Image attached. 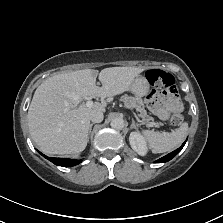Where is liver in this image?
Returning a JSON list of instances; mask_svg holds the SVG:
<instances>
[{"mask_svg":"<svg viewBox=\"0 0 223 223\" xmlns=\"http://www.w3.org/2000/svg\"><path fill=\"white\" fill-rule=\"evenodd\" d=\"M147 68L111 67L101 70L84 69L54 75L35 91L28 110V126L32 139L45 154H75L88 142L90 113L105 111L106 97L130 90L134 78ZM100 97L101 103L91 108L83 98ZM80 104V105H79Z\"/></svg>","mask_w":223,"mask_h":223,"instance_id":"6515ba94","label":"liver"}]
</instances>
